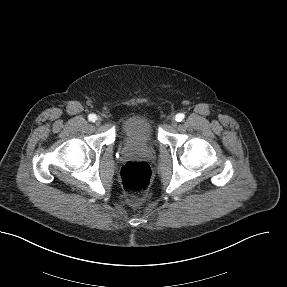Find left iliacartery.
<instances>
[{"label": "left iliac artery", "instance_id": "left-iliac-artery-1", "mask_svg": "<svg viewBox=\"0 0 287 287\" xmlns=\"http://www.w3.org/2000/svg\"><path fill=\"white\" fill-rule=\"evenodd\" d=\"M185 118V115L183 113H178L175 116L176 121L181 122Z\"/></svg>", "mask_w": 287, "mask_h": 287}]
</instances>
